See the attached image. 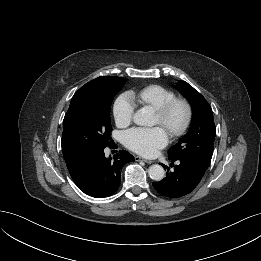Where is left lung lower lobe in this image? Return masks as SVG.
<instances>
[{
  "mask_svg": "<svg viewBox=\"0 0 261 261\" xmlns=\"http://www.w3.org/2000/svg\"><path fill=\"white\" fill-rule=\"evenodd\" d=\"M169 160H171V167H174V169L171 171L163 165L164 168H167V175L163 180L153 182V186L162 196L169 198L183 197L196 188L205 171L183 158L172 159L169 157ZM175 161H177V165L174 166Z\"/></svg>",
  "mask_w": 261,
  "mask_h": 261,
  "instance_id": "left-lung-lower-lobe-1",
  "label": "left lung lower lobe"
}]
</instances>
